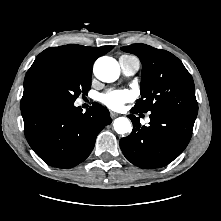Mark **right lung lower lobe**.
Returning <instances> with one entry per match:
<instances>
[{
	"mask_svg": "<svg viewBox=\"0 0 221 221\" xmlns=\"http://www.w3.org/2000/svg\"><path fill=\"white\" fill-rule=\"evenodd\" d=\"M24 133L48 165L72 168L91 153L99 132L111 123L109 111L94 103L82 112L74 103L35 101L21 110Z\"/></svg>",
	"mask_w": 221,
	"mask_h": 221,
	"instance_id": "98d812e1",
	"label": "right lung lower lobe"
}]
</instances>
